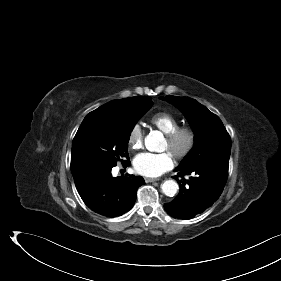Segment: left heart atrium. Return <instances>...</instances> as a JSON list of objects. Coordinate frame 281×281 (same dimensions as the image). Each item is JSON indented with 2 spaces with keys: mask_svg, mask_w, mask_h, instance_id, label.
I'll return each mask as SVG.
<instances>
[{
  "mask_svg": "<svg viewBox=\"0 0 281 281\" xmlns=\"http://www.w3.org/2000/svg\"><path fill=\"white\" fill-rule=\"evenodd\" d=\"M173 158L169 152L138 154L133 161L135 171L146 177H158L173 167Z\"/></svg>",
  "mask_w": 281,
  "mask_h": 281,
  "instance_id": "obj_1",
  "label": "left heart atrium"
}]
</instances>
